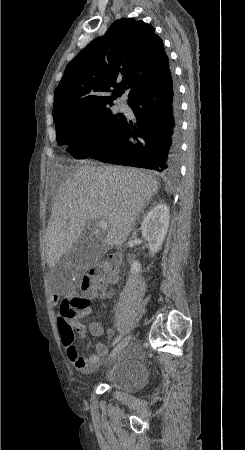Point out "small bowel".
Wrapping results in <instances>:
<instances>
[{
  "label": "small bowel",
  "instance_id": "1",
  "mask_svg": "<svg viewBox=\"0 0 245 450\" xmlns=\"http://www.w3.org/2000/svg\"><path fill=\"white\" fill-rule=\"evenodd\" d=\"M115 293L113 288H108V286L103 288H94L90 292L85 294V298L93 299V298H109L113 296ZM58 298L53 297V301L57 302ZM78 307V315L79 317L86 322V325H82V329L78 330L81 335L84 334L85 328H87L94 336H101L103 334V326L96 320L91 319L92 309L89 306ZM112 333V330L110 331ZM67 347V355L69 359L79 368H89L98 363L99 358L104 356L107 353V349L102 343H98L96 345V353L90 355L88 358H82L79 355L78 348L74 343V340L70 343L63 342ZM81 362V364H80Z\"/></svg>",
  "mask_w": 245,
  "mask_h": 450
}]
</instances>
